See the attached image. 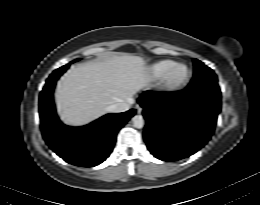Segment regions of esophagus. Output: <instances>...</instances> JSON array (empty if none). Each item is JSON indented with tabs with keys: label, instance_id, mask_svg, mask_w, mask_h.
Returning a JSON list of instances; mask_svg holds the SVG:
<instances>
[{
	"label": "esophagus",
	"instance_id": "esophagus-1",
	"mask_svg": "<svg viewBox=\"0 0 260 205\" xmlns=\"http://www.w3.org/2000/svg\"><path fill=\"white\" fill-rule=\"evenodd\" d=\"M136 109L138 114L142 112V108L139 105H136Z\"/></svg>",
	"mask_w": 260,
	"mask_h": 205
}]
</instances>
